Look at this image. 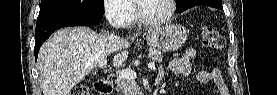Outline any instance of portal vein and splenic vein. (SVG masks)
Instances as JSON below:
<instances>
[{
	"label": "portal vein and splenic vein",
	"instance_id": "18ae733b",
	"mask_svg": "<svg viewBox=\"0 0 277 95\" xmlns=\"http://www.w3.org/2000/svg\"><path fill=\"white\" fill-rule=\"evenodd\" d=\"M107 64V59L102 60L99 64L98 67H103ZM148 68L150 69H155V63L150 62L148 64ZM137 76L136 72L130 69L122 70L117 74V78H124V79H135Z\"/></svg>",
	"mask_w": 277,
	"mask_h": 95
}]
</instances>
